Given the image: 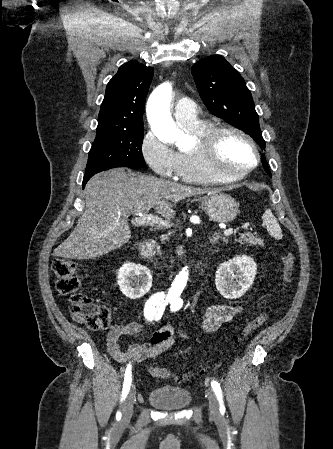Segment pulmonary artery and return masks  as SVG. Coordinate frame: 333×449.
Listing matches in <instances>:
<instances>
[{
	"label": "pulmonary artery",
	"mask_w": 333,
	"mask_h": 449,
	"mask_svg": "<svg viewBox=\"0 0 333 449\" xmlns=\"http://www.w3.org/2000/svg\"><path fill=\"white\" fill-rule=\"evenodd\" d=\"M174 117L182 126H193L199 123L196 105L189 98H182L177 102Z\"/></svg>",
	"instance_id": "1"
}]
</instances>
